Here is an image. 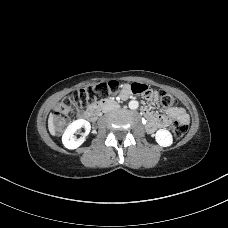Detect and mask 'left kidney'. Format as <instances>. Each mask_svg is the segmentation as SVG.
<instances>
[{"label": "left kidney", "mask_w": 228, "mask_h": 228, "mask_svg": "<svg viewBox=\"0 0 228 228\" xmlns=\"http://www.w3.org/2000/svg\"><path fill=\"white\" fill-rule=\"evenodd\" d=\"M156 142L162 147L171 146L173 138L171 133L166 129H159L155 134Z\"/></svg>", "instance_id": "5707ae66"}]
</instances>
